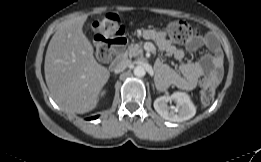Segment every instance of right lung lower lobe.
<instances>
[{"label":"right lung lower lobe","instance_id":"98d812e1","mask_svg":"<svg viewBox=\"0 0 261 162\" xmlns=\"http://www.w3.org/2000/svg\"><path fill=\"white\" fill-rule=\"evenodd\" d=\"M98 116H94V117H91V118H88V120H93V119H96Z\"/></svg>","mask_w":261,"mask_h":162}]
</instances>
